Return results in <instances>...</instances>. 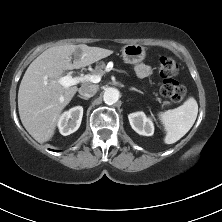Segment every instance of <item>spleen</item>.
<instances>
[{
	"instance_id": "3e777b00",
	"label": "spleen",
	"mask_w": 222,
	"mask_h": 222,
	"mask_svg": "<svg viewBox=\"0 0 222 222\" xmlns=\"http://www.w3.org/2000/svg\"><path fill=\"white\" fill-rule=\"evenodd\" d=\"M198 114V104L193 97L181 106L159 113V118L166 131L164 142L173 144L180 140L193 126Z\"/></svg>"
}]
</instances>
